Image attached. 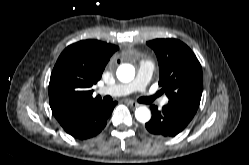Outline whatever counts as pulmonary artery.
I'll use <instances>...</instances> for the list:
<instances>
[{
	"label": "pulmonary artery",
	"instance_id": "pulmonary-artery-1",
	"mask_svg": "<svg viewBox=\"0 0 249 165\" xmlns=\"http://www.w3.org/2000/svg\"><path fill=\"white\" fill-rule=\"evenodd\" d=\"M154 66L149 61H141L136 77L126 83L112 85L105 90L113 95H128L133 92H140L145 98H152L153 95L147 90V84L149 83ZM168 102L167 97L160 99L159 103L165 105Z\"/></svg>",
	"mask_w": 249,
	"mask_h": 165
}]
</instances>
